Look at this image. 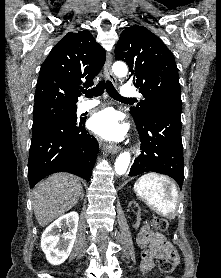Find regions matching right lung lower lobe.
Segmentation results:
<instances>
[{"label":"right lung lower lobe","instance_id":"98d812e1","mask_svg":"<svg viewBox=\"0 0 221 278\" xmlns=\"http://www.w3.org/2000/svg\"><path fill=\"white\" fill-rule=\"evenodd\" d=\"M85 120H55L32 130L28 160L30 188L56 172L90 180L99 145L85 129Z\"/></svg>","mask_w":221,"mask_h":278}]
</instances>
